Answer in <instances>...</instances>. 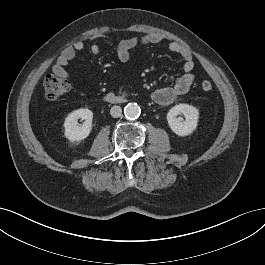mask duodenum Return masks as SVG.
<instances>
[{
	"mask_svg": "<svg viewBox=\"0 0 265 265\" xmlns=\"http://www.w3.org/2000/svg\"><path fill=\"white\" fill-rule=\"evenodd\" d=\"M104 100L109 103H123L125 101L124 98L120 96H116L113 93H108L104 96Z\"/></svg>",
	"mask_w": 265,
	"mask_h": 265,
	"instance_id": "410a0bca",
	"label": "duodenum"
}]
</instances>
